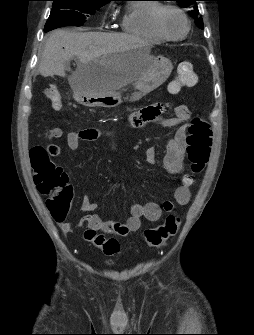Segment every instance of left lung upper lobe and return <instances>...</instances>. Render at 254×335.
Instances as JSON below:
<instances>
[{"label":"left lung upper lobe","instance_id":"5c2ea615","mask_svg":"<svg viewBox=\"0 0 254 335\" xmlns=\"http://www.w3.org/2000/svg\"><path fill=\"white\" fill-rule=\"evenodd\" d=\"M177 1L182 7H193L196 8L197 4L196 1L198 0H174ZM198 9L190 12V15L196 20L197 25L200 28H203V20L201 17L198 16Z\"/></svg>","mask_w":254,"mask_h":335}]
</instances>
